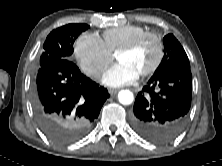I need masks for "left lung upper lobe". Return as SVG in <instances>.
I'll list each match as a JSON object with an SVG mask.
<instances>
[{"instance_id": "5c2ea615", "label": "left lung upper lobe", "mask_w": 222, "mask_h": 166, "mask_svg": "<svg viewBox=\"0 0 222 166\" xmlns=\"http://www.w3.org/2000/svg\"><path fill=\"white\" fill-rule=\"evenodd\" d=\"M164 57L154 75H160L175 69H190L189 59L180 42L173 34L163 38Z\"/></svg>"}]
</instances>
